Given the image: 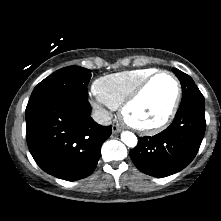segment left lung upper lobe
Instances as JSON below:
<instances>
[{"label":"left lung upper lobe","instance_id":"5c2ea615","mask_svg":"<svg viewBox=\"0 0 221 221\" xmlns=\"http://www.w3.org/2000/svg\"><path fill=\"white\" fill-rule=\"evenodd\" d=\"M173 71L179 78L182 86L183 94L180 106L188 102H205L202 93L189 75L176 68H174Z\"/></svg>","mask_w":221,"mask_h":221}]
</instances>
